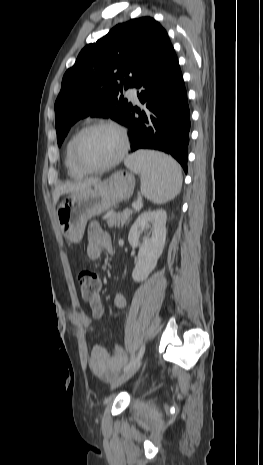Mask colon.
Listing matches in <instances>:
<instances>
[{
	"instance_id": "colon-1",
	"label": "colon",
	"mask_w": 263,
	"mask_h": 465,
	"mask_svg": "<svg viewBox=\"0 0 263 465\" xmlns=\"http://www.w3.org/2000/svg\"><path fill=\"white\" fill-rule=\"evenodd\" d=\"M78 286L84 299L95 298L102 286V280L98 273L90 269H83L78 274Z\"/></svg>"
}]
</instances>
